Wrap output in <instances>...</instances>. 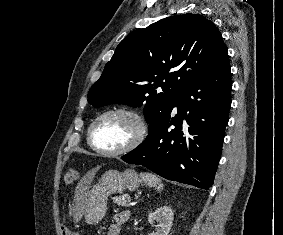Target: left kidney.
Segmentation results:
<instances>
[{
    "mask_svg": "<svg viewBox=\"0 0 283 235\" xmlns=\"http://www.w3.org/2000/svg\"><path fill=\"white\" fill-rule=\"evenodd\" d=\"M173 216V211L169 206H162L151 212L148 216V222L153 225L156 221L158 225L155 228V232L149 235H168L172 226Z\"/></svg>",
    "mask_w": 283,
    "mask_h": 235,
    "instance_id": "1",
    "label": "left kidney"
}]
</instances>
